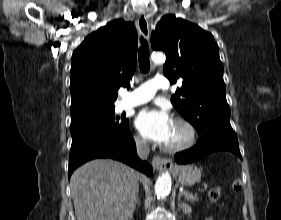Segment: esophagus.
<instances>
[{"label":"esophagus","instance_id":"esophagus-1","mask_svg":"<svg viewBox=\"0 0 281 220\" xmlns=\"http://www.w3.org/2000/svg\"><path fill=\"white\" fill-rule=\"evenodd\" d=\"M137 27L142 34V36L148 40L150 36L149 25L147 18L144 14H141L137 20ZM152 165L155 169L159 171L170 170L173 168V161L169 158H163L160 156H155L152 160Z\"/></svg>","mask_w":281,"mask_h":220}]
</instances>
